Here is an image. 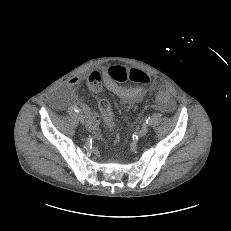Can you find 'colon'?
<instances>
[{"label":"colon","instance_id":"colon-1","mask_svg":"<svg viewBox=\"0 0 231 231\" xmlns=\"http://www.w3.org/2000/svg\"><path fill=\"white\" fill-rule=\"evenodd\" d=\"M108 76L113 84L122 83L126 80H131L138 83L148 82L147 75L141 70L136 68H127L122 65H114L110 67L108 69ZM92 87L94 91L98 92L101 90L102 84L99 80H96L93 82ZM156 99L160 103H168L170 98L166 92L161 91L157 93ZM98 105L106 128L111 132L117 131V124L114 121L110 103L106 99H101Z\"/></svg>","mask_w":231,"mask_h":231}]
</instances>
